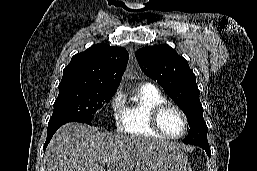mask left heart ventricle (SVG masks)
<instances>
[{
	"mask_svg": "<svg viewBox=\"0 0 257 171\" xmlns=\"http://www.w3.org/2000/svg\"><path fill=\"white\" fill-rule=\"evenodd\" d=\"M161 126L166 133L172 136L180 135L184 130L183 119L179 112L173 108H169L163 113Z\"/></svg>",
	"mask_w": 257,
	"mask_h": 171,
	"instance_id": "1",
	"label": "left heart ventricle"
}]
</instances>
